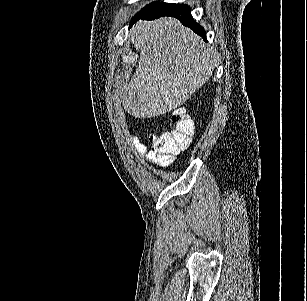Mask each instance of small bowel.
<instances>
[{
	"instance_id": "obj_1",
	"label": "small bowel",
	"mask_w": 307,
	"mask_h": 301,
	"mask_svg": "<svg viewBox=\"0 0 307 301\" xmlns=\"http://www.w3.org/2000/svg\"><path fill=\"white\" fill-rule=\"evenodd\" d=\"M135 153L139 156L145 157L147 161L155 165H163L162 160L152 151L148 150L147 147L142 144L136 137L132 139Z\"/></svg>"
}]
</instances>
